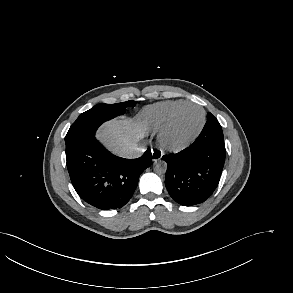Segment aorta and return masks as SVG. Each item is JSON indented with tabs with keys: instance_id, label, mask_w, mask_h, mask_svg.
I'll use <instances>...</instances> for the list:
<instances>
[{
	"instance_id": "762f6f07",
	"label": "aorta",
	"mask_w": 293,
	"mask_h": 293,
	"mask_svg": "<svg viewBox=\"0 0 293 293\" xmlns=\"http://www.w3.org/2000/svg\"><path fill=\"white\" fill-rule=\"evenodd\" d=\"M153 169L156 173L163 174L167 170V163L163 160H156Z\"/></svg>"
}]
</instances>
